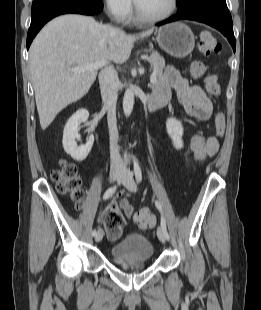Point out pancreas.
I'll use <instances>...</instances> for the list:
<instances>
[{"label":"pancreas","mask_w":261,"mask_h":310,"mask_svg":"<svg viewBox=\"0 0 261 310\" xmlns=\"http://www.w3.org/2000/svg\"><path fill=\"white\" fill-rule=\"evenodd\" d=\"M149 62L153 68V75L157 78V82L151 86L152 89H155L158 85L163 83V69L165 67V62L162 57L156 54H153L149 58Z\"/></svg>","instance_id":"obj_1"}]
</instances>
